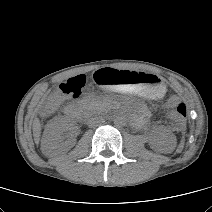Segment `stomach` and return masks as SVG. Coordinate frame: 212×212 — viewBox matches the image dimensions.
<instances>
[{"label":"stomach","mask_w":212,"mask_h":212,"mask_svg":"<svg viewBox=\"0 0 212 212\" xmlns=\"http://www.w3.org/2000/svg\"><path fill=\"white\" fill-rule=\"evenodd\" d=\"M90 80L97 85L112 87L125 93H134L151 99L162 98L165 85L160 77L143 72L99 67L90 73Z\"/></svg>","instance_id":"stomach-1"}]
</instances>
